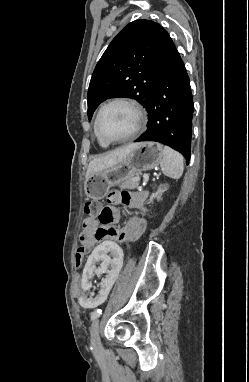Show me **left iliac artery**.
<instances>
[{
  "mask_svg": "<svg viewBox=\"0 0 249 382\" xmlns=\"http://www.w3.org/2000/svg\"><path fill=\"white\" fill-rule=\"evenodd\" d=\"M101 314H102V310L97 309L94 312H92L91 319L94 320V319L98 318Z\"/></svg>",
  "mask_w": 249,
  "mask_h": 382,
  "instance_id": "1",
  "label": "left iliac artery"
}]
</instances>
